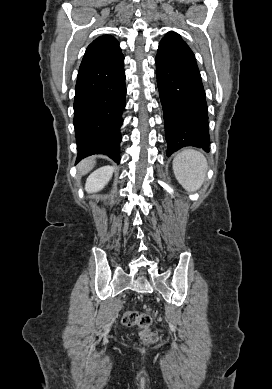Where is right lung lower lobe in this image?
<instances>
[{"instance_id":"98d812e1","label":"right lung lower lobe","mask_w":272,"mask_h":389,"mask_svg":"<svg viewBox=\"0 0 272 389\" xmlns=\"http://www.w3.org/2000/svg\"><path fill=\"white\" fill-rule=\"evenodd\" d=\"M124 56L79 71L74 98L77 160L105 154L120 162V127L125 108Z\"/></svg>"}]
</instances>
